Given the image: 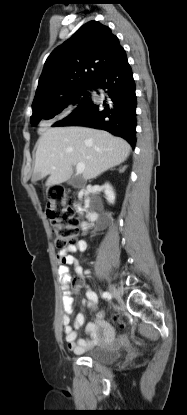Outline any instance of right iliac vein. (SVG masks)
I'll use <instances>...</instances> for the list:
<instances>
[{
	"label": "right iliac vein",
	"mask_w": 187,
	"mask_h": 415,
	"mask_svg": "<svg viewBox=\"0 0 187 415\" xmlns=\"http://www.w3.org/2000/svg\"><path fill=\"white\" fill-rule=\"evenodd\" d=\"M108 291H109L111 296H113V297L118 296V291H117L116 287L113 284L108 285Z\"/></svg>",
	"instance_id": "63e3f726"
}]
</instances>
